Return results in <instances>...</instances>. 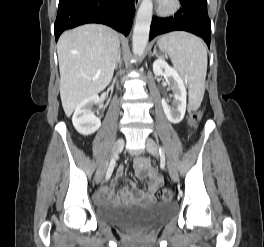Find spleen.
Wrapping results in <instances>:
<instances>
[{
  "instance_id": "spleen-1",
  "label": "spleen",
  "mask_w": 264,
  "mask_h": 247,
  "mask_svg": "<svg viewBox=\"0 0 264 247\" xmlns=\"http://www.w3.org/2000/svg\"><path fill=\"white\" fill-rule=\"evenodd\" d=\"M157 45L186 76L191 101L201 103L205 91L207 51L203 41L186 32H173L162 36Z\"/></svg>"
}]
</instances>
